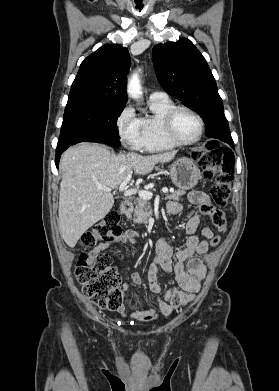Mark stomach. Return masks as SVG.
<instances>
[{
    "instance_id": "obj_1",
    "label": "stomach",
    "mask_w": 279,
    "mask_h": 391,
    "mask_svg": "<svg viewBox=\"0 0 279 391\" xmlns=\"http://www.w3.org/2000/svg\"><path fill=\"white\" fill-rule=\"evenodd\" d=\"M169 174L173 184L185 191L196 186L200 170L193 160L184 157L171 164Z\"/></svg>"
}]
</instances>
